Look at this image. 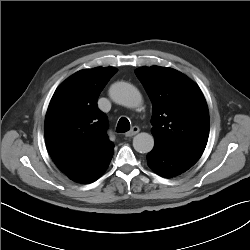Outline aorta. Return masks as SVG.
Returning <instances> with one entry per match:
<instances>
[{
    "label": "aorta",
    "mask_w": 250,
    "mask_h": 250,
    "mask_svg": "<svg viewBox=\"0 0 250 250\" xmlns=\"http://www.w3.org/2000/svg\"><path fill=\"white\" fill-rule=\"evenodd\" d=\"M111 99L120 105L134 108L141 104L142 97L136 87L127 82H116L109 90ZM133 147L139 153H148L154 147L152 135L142 132L133 138Z\"/></svg>",
    "instance_id": "aorta-1"
}]
</instances>
